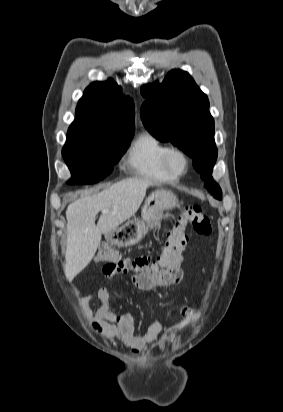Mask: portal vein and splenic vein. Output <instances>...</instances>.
Masks as SVG:
<instances>
[{"label":"portal vein and splenic vein","instance_id":"obj_1","mask_svg":"<svg viewBox=\"0 0 283 412\" xmlns=\"http://www.w3.org/2000/svg\"><path fill=\"white\" fill-rule=\"evenodd\" d=\"M103 214H105V213H109V210L108 209H104V210H102L101 211Z\"/></svg>","mask_w":283,"mask_h":412}]
</instances>
